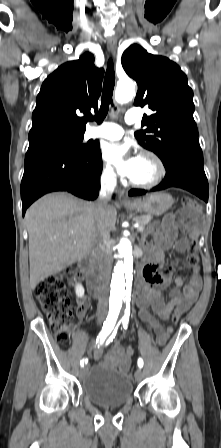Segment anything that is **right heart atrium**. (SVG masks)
Segmentation results:
<instances>
[{
	"instance_id": "1",
	"label": "right heart atrium",
	"mask_w": 221,
	"mask_h": 448,
	"mask_svg": "<svg viewBox=\"0 0 221 448\" xmlns=\"http://www.w3.org/2000/svg\"><path fill=\"white\" fill-rule=\"evenodd\" d=\"M101 179L107 185H114L116 183L117 174L109 163L103 165Z\"/></svg>"
}]
</instances>
